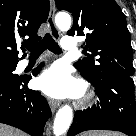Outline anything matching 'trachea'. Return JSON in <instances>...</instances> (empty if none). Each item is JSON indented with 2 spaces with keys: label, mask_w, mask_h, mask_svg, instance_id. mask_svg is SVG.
Segmentation results:
<instances>
[{
  "label": "trachea",
  "mask_w": 136,
  "mask_h": 136,
  "mask_svg": "<svg viewBox=\"0 0 136 136\" xmlns=\"http://www.w3.org/2000/svg\"><path fill=\"white\" fill-rule=\"evenodd\" d=\"M25 47L30 51V55H40L46 49H49L56 54L62 52L58 44L54 41L49 33L44 36L42 41L35 44H26Z\"/></svg>",
  "instance_id": "obj_1"
}]
</instances>
